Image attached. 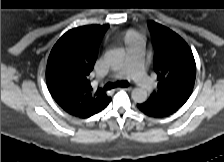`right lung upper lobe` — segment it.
Instances as JSON below:
<instances>
[{"instance_id":"obj_1","label":"right lung upper lobe","mask_w":224,"mask_h":162,"mask_svg":"<svg viewBox=\"0 0 224 162\" xmlns=\"http://www.w3.org/2000/svg\"><path fill=\"white\" fill-rule=\"evenodd\" d=\"M107 25H88L66 32L54 45L46 68L48 89L69 114L88 118L107 107L111 98L93 91L88 76L98 55Z\"/></svg>"}]
</instances>
